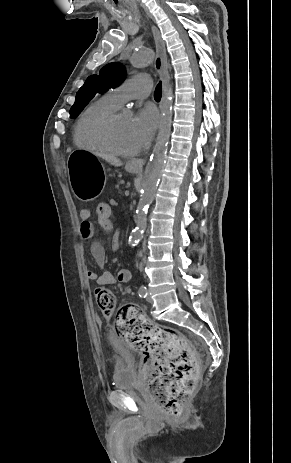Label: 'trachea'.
<instances>
[{
	"instance_id": "1",
	"label": "trachea",
	"mask_w": 291,
	"mask_h": 463,
	"mask_svg": "<svg viewBox=\"0 0 291 463\" xmlns=\"http://www.w3.org/2000/svg\"><path fill=\"white\" fill-rule=\"evenodd\" d=\"M162 96V84L161 82L157 85L155 93H154V98L156 100H160Z\"/></svg>"
}]
</instances>
